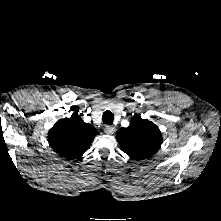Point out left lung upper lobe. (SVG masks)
<instances>
[{
    "mask_svg": "<svg viewBox=\"0 0 221 221\" xmlns=\"http://www.w3.org/2000/svg\"><path fill=\"white\" fill-rule=\"evenodd\" d=\"M121 149L132 159L140 160L156 153L162 142L159 128L140 115H134L128 128H120L117 132Z\"/></svg>",
    "mask_w": 221,
    "mask_h": 221,
    "instance_id": "left-lung-upper-lobe-1",
    "label": "left lung upper lobe"
}]
</instances>
